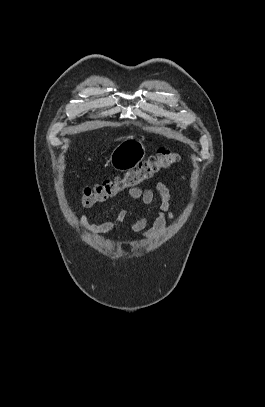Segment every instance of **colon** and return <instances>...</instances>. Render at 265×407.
Instances as JSON below:
<instances>
[{"label": "colon", "instance_id": "5ec220e1", "mask_svg": "<svg viewBox=\"0 0 265 407\" xmlns=\"http://www.w3.org/2000/svg\"><path fill=\"white\" fill-rule=\"evenodd\" d=\"M180 156L170 149H160L154 156L142 161L137 168L127 171L123 176L106 179L82 192V204L86 207L104 203L127 189L139 186L154 178L160 171L178 163Z\"/></svg>", "mask_w": 265, "mask_h": 407}]
</instances>
